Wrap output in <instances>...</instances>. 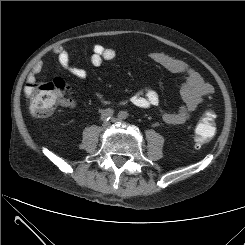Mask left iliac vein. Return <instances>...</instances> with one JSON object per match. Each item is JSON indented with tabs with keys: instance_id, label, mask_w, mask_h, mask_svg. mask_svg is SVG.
Listing matches in <instances>:
<instances>
[{
	"instance_id": "obj_1",
	"label": "left iliac vein",
	"mask_w": 245,
	"mask_h": 245,
	"mask_svg": "<svg viewBox=\"0 0 245 245\" xmlns=\"http://www.w3.org/2000/svg\"><path fill=\"white\" fill-rule=\"evenodd\" d=\"M115 122H122V119L120 117L114 119Z\"/></svg>"
}]
</instances>
